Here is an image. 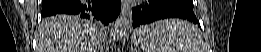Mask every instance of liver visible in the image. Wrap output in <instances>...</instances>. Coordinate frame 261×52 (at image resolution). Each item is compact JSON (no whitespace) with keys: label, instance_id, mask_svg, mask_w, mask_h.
<instances>
[{"label":"liver","instance_id":"liver-1","mask_svg":"<svg viewBox=\"0 0 261 52\" xmlns=\"http://www.w3.org/2000/svg\"><path fill=\"white\" fill-rule=\"evenodd\" d=\"M36 40V52H98L102 44L96 25L73 15L43 19Z\"/></svg>","mask_w":261,"mask_h":52}]
</instances>
